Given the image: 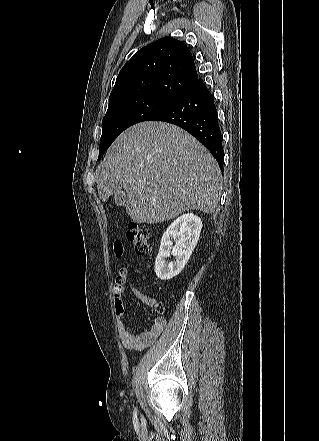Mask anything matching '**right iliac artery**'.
Wrapping results in <instances>:
<instances>
[{
	"instance_id": "82829eb1",
	"label": "right iliac artery",
	"mask_w": 319,
	"mask_h": 441,
	"mask_svg": "<svg viewBox=\"0 0 319 441\" xmlns=\"http://www.w3.org/2000/svg\"><path fill=\"white\" fill-rule=\"evenodd\" d=\"M136 414H137V410L135 409V410H134V415L136 416Z\"/></svg>"
}]
</instances>
